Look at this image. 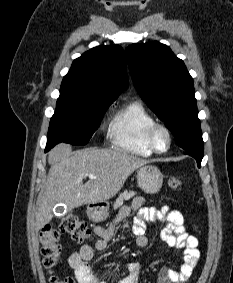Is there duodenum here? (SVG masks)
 <instances>
[{
  "label": "duodenum",
  "mask_w": 233,
  "mask_h": 283,
  "mask_svg": "<svg viewBox=\"0 0 233 283\" xmlns=\"http://www.w3.org/2000/svg\"><path fill=\"white\" fill-rule=\"evenodd\" d=\"M100 207H101V205L97 206V208H100Z\"/></svg>",
  "instance_id": "410a0bca"
}]
</instances>
